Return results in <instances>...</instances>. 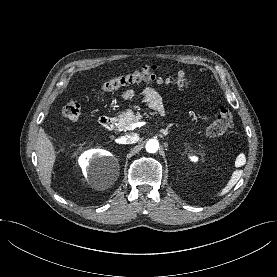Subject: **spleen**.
I'll list each match as a JSON object with an SVG mask.
<instances>
[{
	"label": "spleen",
	"instance_id": "spleen-1",
	"mask_svg": "<svg viewBox=\"0 0 277 277\" xmlns=\"http://www.w3.org/2000/svg\"><path fill=\"white\" fill-rule=\"evenodd\" d=\"M242 175V171L236 170L233 172V174L230 177V180L228 181L227 185L221 190L220 196L226 194L229 192V190L238 182Z\"/></svg>",
	"mask_w": 277,
	"mask_h": 277
}]
</instances>
